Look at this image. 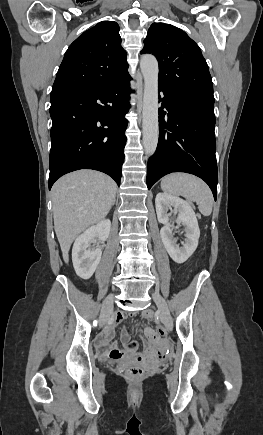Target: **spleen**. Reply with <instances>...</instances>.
Masks as SVG:
<instances>
[{
  "instance_id": "3e777b00",
  "label": "spleen",
  "mask_w": 263,
  "mask_h": 435,
  "mask_svg": "<svg viewBox=\"0 0 263 435\" xmlns=\"http://www.w3.org/2000/svg\"><path fill=\"white\" fill-rule=\"evenodd\" d=\"M164 192L181 195L194 201L204 216H209L213 208V195L207 184L200 178L186 173H172L161 180Z\"/></svg>"
}]
</instances>
